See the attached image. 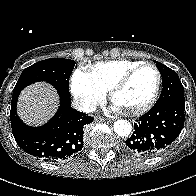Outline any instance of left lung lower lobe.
Listing matches in <instances>:
<instances>
[{
    "instance_id": "left-lung-lower-lobe-1",
    "label": "left lung lower lobe",
    "mask_w": 196,
    "mask_h": 196,
    "mask_svg": "<svg viewBox=\"0 0 196 196\" xmlns=\"http://www.w3.org/2000/svg\"><path fill=\"white\" fill-rule=\"evenodd\" d=\"M184 121L185 103L169 101L154 105L134 123V132L125 141V149L136 156H154L175 141Z\"/></svg>"
}]
</instances>
